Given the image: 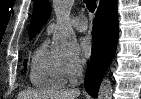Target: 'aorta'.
<instances>
[{
  "mask_svg": "<svg viewBox=\"0 0 141 99\" xmlns=\"http://www.w3.org/2000/svg\"><path fill=\"white\" fill-rule=\"evenodd\" d=\"M72 6L73 0H54L53 2L58 21V28L54 34L55 49L64 55H72L78 50L76 36L69 23ZM98 99H112L111 81L106 77L100 84Z\"/></svg>",
  "mask_w": 141,
  "mask_h": 99,
  "instance_id": "aorta-1",
  "label": "aorta"
}]
</instances>
